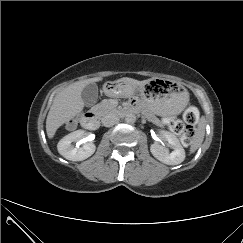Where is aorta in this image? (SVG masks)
Instances as JSON below:
<instances>
[{
	"label": "aorta",
	"mask_w": 243,
	"mask_h": 243,
	"mask_svg": "<svg viewBox=\"0 0 243 243\" xmlns=\"http://www.w3.org/2000/svg\"><path fill=\"white\" fill-rule=\"evenodd\" d=\"M125 121L128 124H134L136 122V116L132 113H129L126 115Z\"/></svg>",
	"instance_id": "aorta-1"
}]
</instances>
